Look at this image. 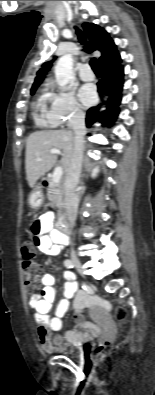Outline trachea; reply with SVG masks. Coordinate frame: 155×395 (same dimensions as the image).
<instances>
[{
  "label": "trachea",
  "instance_id": "trachea-1",
  "mask_svg": "<svg viewBox=\"0 0 155 395\" xmlns=\"http://www.w3.org/2000/svg\"><path fill=\"white\" fill-rule=\"evenodd\" d=\"M75 29H76V33H77V35H78L79 42L82 43V44H84L85 41H86L84 34H83V33L81 32V30H79L77 27H75ZM90 66H91V68H92V70H93L94 72H96V73H99V72H100V70H99V68H98L97 60H96L95 58H92V59L90 60Z\"/></svg>",
  "mask_w": 155,
  "mask_h": 395
}]
</instances>
